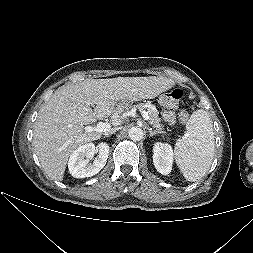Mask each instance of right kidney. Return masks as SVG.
Instances as JSON below:
<instances>
[{"label": "right kidney", "mask_w": 253, "mask_h": 253, "mask_svg": "<svg viewBox=\"0 0 253 253\" xmlns=\"http://www.w3.org/2000/svg\"><path fill=\"white\" fill-rule=\"evenodd\" d=\"M109 145L100 143L95 147L93 143H87L78 147L70 156L68 168L75 178L91 177L97 174L106 165L109 155ZM98 152V156L91 164L89 160Z\"/></svg>", "instance_id": "ca27d5eb"}]
</instances>
